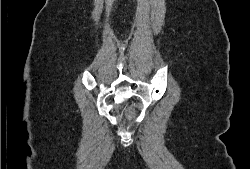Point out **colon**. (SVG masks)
<instances>
[{
	"mask_svg": "<svg viewBox=\"0 0 250 169\" xmlns=\"http://www.w3.org/2000/svg\"><path fill=\"white\" fill-rule=\"evenodd\" d=\"M122 111L126 115V120H131V111H133V106H130V102H121ZM128 107V108H127ZM128 109V110H127ZM131 127H138V122H131Z\"/></svg>",
	"mask_w": 250,
	"mask_h": 169,
	"instance_id": "1",
	"label": "colon"
}]
</instances>
